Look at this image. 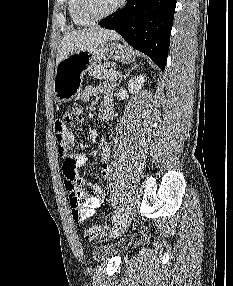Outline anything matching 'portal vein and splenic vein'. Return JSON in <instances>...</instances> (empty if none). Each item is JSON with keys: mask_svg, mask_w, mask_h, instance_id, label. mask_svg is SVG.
Returning a JSON list of instances; mask_svg holds the SVG:
<instances>
[{"mask_svg": "<svg viewBox=\"0 0 233 286\" xmlns=\"http://www.w3.org/2000/svg\"><path fill=\"white\" fill-rule=\"evenodd\" d=\"M111 74H113V75H116V76H117V74H118V71H116V70H114V71H111Z\"/></svg>", "mask_w": 233, "mask_h": 286, "instance_id": "obj_1", "label": "portal vein and splenic vein"}]
</instances>
